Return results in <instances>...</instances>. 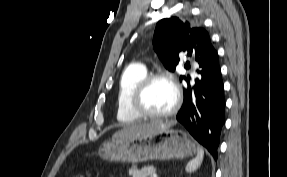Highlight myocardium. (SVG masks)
Here are the masks:
<instances>
[{"label": "myocardium", "instance_id": "f54148a6", "mask_svg": "<svg viewBox=\"0 0 287 177\" xmlns=\"http://www.w3.org/2000/svg\"><path fill=\"white\" fill-rule=\"evenodd\" d=\"M165 81L167 82L173 89L175 100L173 106L166 112L163 113H152L146 110L142 104L143 96L149 86L155 81ZM181 91L175 80L168 75L167 73L163 72H156L147 74L136 86L132 97H131V107L133 111L143 118L148 119H164L170 117L178 112L181 106Z\"/></svg>", "mask_w": 287, "mask_h": 177}]
</instances>
